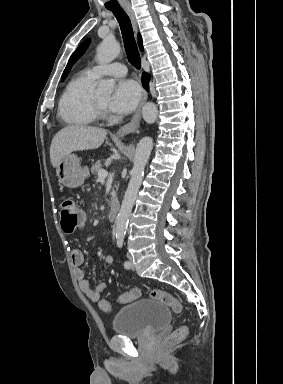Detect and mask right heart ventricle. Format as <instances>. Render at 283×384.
<instances>
[{
    "label": "right heart ventricle",
    "instance_id": "e07e8e85",
    "mask_svg": "<svg viewBox=\"0 0 283 384\" xmlns=\"http://www.w3.org/2000/svg\"><path fill=\"white\" fill-rule=\"evenodd\" d=\"M93 82L86 72L77 73L67 82L59 98L58 116L68 128L85 129L96 123L88 93Z\"/></svg>",
    "mask_w": 283,
    "mask_h": 384
}]
</instances>
